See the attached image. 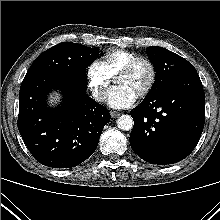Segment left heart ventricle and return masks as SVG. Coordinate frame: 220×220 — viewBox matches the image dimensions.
I'll list each match as a JSON object with an SVG mask.
<instances>
[{
  "instance_id": "b2bd125f",
  "label": "left heart ventricle",
  "mask_w": 220,
  "mask_h": 220,
  "mask_svg": "<svg viewBox=\"0 0 220 220\" xmlns=\"http://www.w3.org/2000/svg\"><path fill=\"white\" fill-rule=\"evenodd\" d=\"M150 78V69L145 63L138 64L133 71L117 76L116 83L130 88L137 96Z\"/></svg>"
}]
</instances>
